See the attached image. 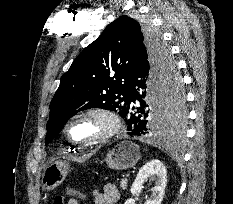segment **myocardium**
Instances as JSON below:
<instances>
[{
	"label": "myocardium",
	"instance_id": "f54148a6",
	"mask_svg": "<svg viewBox=\"0 0 233 204\" xmlns=\"http://www.w3.org/2000/svg\"><path fill=\"white\" fill-rule=\"evenodd\" d=\"M90 117L104 120L107 124V129L102 134H100L99 136L93 139L82 140V141L73 139L70 135L71 125L79 119L90 118ZM121 128H122V121L119 115L116 114L114 111L104 107H91L81 110L75 113L74 115H72L64 126V133L69 141L78 145L89 146V145L100 144L111 139L112 137H114L119 133Z\"/></svg>",
	"mask_w": 233,
	"mask_h": 204
}]
</instances>
